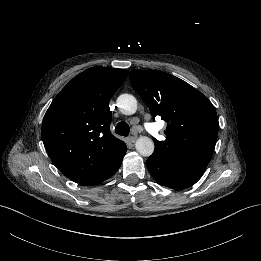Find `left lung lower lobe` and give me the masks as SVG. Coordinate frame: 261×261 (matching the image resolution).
<instances>
[{
	"label": "left lung lower lobe",
	"instance_id": "0a47b994",
	"mask_svg": "<svg viewBox=\"0 0 261 261\" xmlns=\"http://www.w3.org/2000/svg\"><path fill=\"white\" fill-rule=\"evenodd\" d=\"M147 168L160 185L182 190L194 185L207 166L170 159L154 152L146 161Z\"/></svg>",
	"mask_w": 261,
	"mask_h": 261
}]
</instances>
